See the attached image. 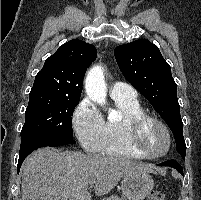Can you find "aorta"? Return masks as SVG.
<instances>
[{
    "mask_svg": "<svg viewBox=\"0 0 201 200\" xmlns=\"http://www.w3.org/2000/svg\"><path fill=\"white\" fill-rule=\"evenodd\" d=\"M85 90L88 97L104 105L106 102V83L104 79V70L100 65L92 67L87 73L85 79Z\"/></svg>",
    "mask_w": 201,
    "mask_h": 200,
    "instance_id": "aorta-1",
    "label": "aorta"
}]
</instances>
